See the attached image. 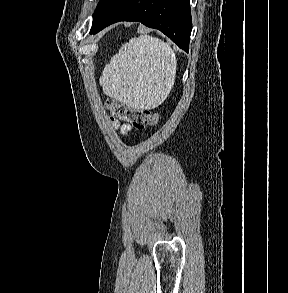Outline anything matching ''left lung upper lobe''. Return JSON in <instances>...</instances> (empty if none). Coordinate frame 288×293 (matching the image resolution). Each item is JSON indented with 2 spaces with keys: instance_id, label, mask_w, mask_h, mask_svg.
Listing matches in <instances>:
<instances>
[{
  "instance_id": "5c2ea615",
  "label": "left lung upper lobe",
  "mask_w": 288,
  "mask_h": 293,
  "mask_svg": "<svg viewBox=\"0 0 288 293\" xmlns=\"http://www.w3.org/2000/svg\"><path fill=\"white\" fill-rule=\"evenodd\" d=\"M120 0H101L93 15V24L102 20Z\"/></svg>"
}]
</instances>
